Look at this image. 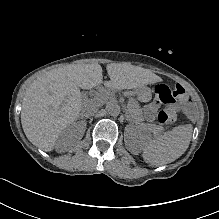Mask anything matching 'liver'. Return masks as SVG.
Masks as SVG:
<instances>
[{
    "instance_id": "obj_1",
    "label": "liver",
    "mask_w": 219,
    "mask_h": 219,
    "mask_svg": "<svg viewBox=\"0 0 219 219\" xmlns=\"http://www.w3.org/2000/svg\"><path fill=\"white\" fill-rule=\"evenodd\" d=\"M110 89H132L151 83L149 70L127 64H108ZM103 83L99 64L67 65L37 77L26 89L22 102L21 124L28 140L48 152L59 134L88 110L93 115L103 105L106 94L82 101L81 89L91 90Z\"/></svg>"
}]
</instances>
